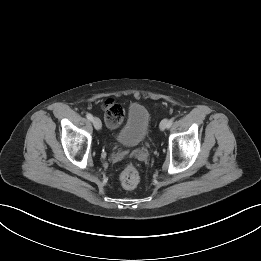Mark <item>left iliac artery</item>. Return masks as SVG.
<instances>
[{"label": "left iliac artery", "mask_w": 261, "mask_h": 261, "mask_svg": "<svg viewBox=\"0 0 261 261\" xmlns=\"http://www.w3.org/2000/svg\"><path fill=\"white\" fill-rule=\"evenodd\" d=\"M173 122H174V118L170 119V120H169V123H168V125H167V127H168V128L171 127V125L173 124Z\"/></svg>", "instance_id": "obj_1"}]
</instances>
